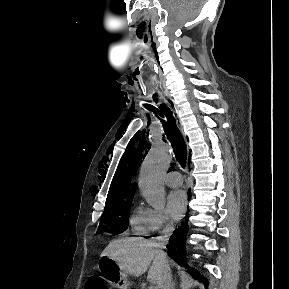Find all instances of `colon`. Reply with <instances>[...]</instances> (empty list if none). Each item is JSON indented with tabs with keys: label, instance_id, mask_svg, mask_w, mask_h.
<instances>
[{
	"label": "colon",
	"instance_id": "colon-1",
	"mask_svg": "<svg viewBox=\"0 0 289 289\" xmlns=\"http://www.w3.org/2000/svg\"><path fill=\"white\" fill-rule=\"evenodd\" d=\"M85 289H110L108 284L100 277L88 279Z\"/></svg>",
	"mask_w": 289,
	"mask_h": 289
}]
</instances>
